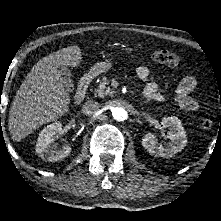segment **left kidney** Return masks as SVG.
Segmentation results:
<instances>
[{"label": "left kidney", "instance_id": "obj_1", "mask_svg": "<svg viewBox=\"0 0 221 221\" xmlns=\"http://www.w3.org/2000/svg\"><path fill=\"white\" fill-rule=\"evenodd\" d=\"M163 128H168L167 138L170 140L165 147L157 145V138L147 133L142 139V146L153 156L169 158L180 152L186 146V133L181 121L175 117H164L161 121Z\"/></svg>", "mask_w": 221, "mask_h": 221}]
</instances>
